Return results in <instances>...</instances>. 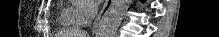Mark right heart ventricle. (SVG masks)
Instances as JSON below:
<instances>
[{
  "label": "right heart ventricle",
  "instance_id": "e07e8e85",
  "mask_svg": "<svg viewBox=\"0 0 219 37\" xmlns=\"http://www.w3.org/2000/svg\"><path fill=\"white\" fill-rule=\"evenodd\" d=\"M75 8H63L60 15V24L65 27H78L80 22L75 18Z\"/></svg>",
  "mask_w": 219,
  "mask_h": 37
}]
</instances>
